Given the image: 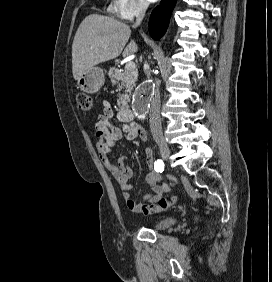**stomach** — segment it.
<instances>
[{"mask_svg": "<svg viewBox=\"0 0 272 282\" xmlns=\"http://www.w3.org/2000/svg\"><path fill=\"white\" fill-rule=\"evenodd\" d=\"M105 75L100 67H92L79 77L78 87L86 93H96L104 84Z\"/></svg>", "mask_w": 272, "mask_h": 282, "instance_id": "0dacf381", "label": "stomach"}]
</instances>
